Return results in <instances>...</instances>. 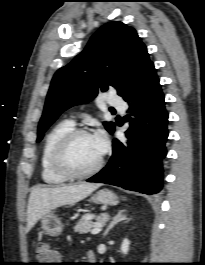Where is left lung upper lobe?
Segmentation results:
<instances>
[{"label": "left lung upper lobe", "instance_id": "5c2ea615", "mask_svg": "<svg viewBox=\"0 0 205 265\" xmlns=\"http://www.w3.org/2000/svg\"><path fill=\"white\" fill-rule=\"evenodd\" d=\"M151 66L147 48L135 29L122 22L103 25L85 49L55 73L38 125L37 142L64 110L90 102L109 87L125 98ZM104 126L110 133L114 131L113 122H104Z\"/></svg>", "mask_w": 205, "mask_h": 265}]
</instances>
